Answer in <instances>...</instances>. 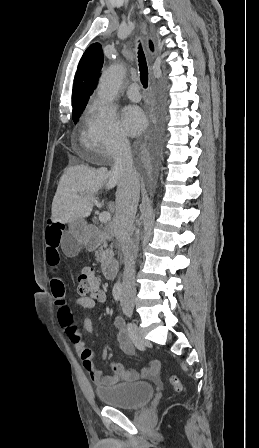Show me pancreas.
Segmentation results:
<instances>
[{
  "instance_id": "pancreas-1",
  "label": "pancreas",
  "mask_w": 259,
  "mask_h": 448,
  "mask_svg": "<svg viewBox=\"0 0 259 448\" xmlns=\"http://www.w3.org/2000/svg\"><path fill=\"white\" fill-rule=\"evenodd\" d=\"M103 248H107V246H100L98 252H96V260L97 262H105V260H112L114 254L113 250V244H111L110 248H107V250H103Z\"/></svg>"
}]
</instances>
